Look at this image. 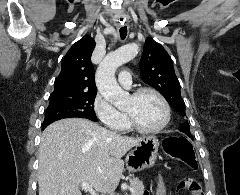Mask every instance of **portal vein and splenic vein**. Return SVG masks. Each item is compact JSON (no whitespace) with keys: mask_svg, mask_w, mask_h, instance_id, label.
I'll use <instances>...</instances> for the list:
<instances>
[{"mask_svg":"<svg viewBox=\"0 0 240 195\" xmlns=\"http://www.w3.org/2000/svg\"><path fill=\"white\" fill-rule=\"evenodd\" d=\"M81 187L82 189H85V191H89L91 195H98V193H95V189H93V187H91L90 183H87V181H83V183H81Z\"/></svg>","mask_w":240,"mask_h":195,"instance_id":"1","label":"portal vein and splenic vein"}]
</instances>
